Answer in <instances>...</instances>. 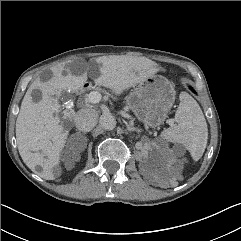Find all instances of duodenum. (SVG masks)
Returning <instances> with one entry per match:
<instances>
[{"instance_id":"1","label":"duodenum","mask_w":241,"mask_h":241,"mask_svg":"<svg viewBox=\"0 0 241 241\" xmlns=\"http://www.w3.org/2000/svg\"><path fill=\"white\" fill-rule=\"evenodd\" d=\"M81 87H87V84H82Z\"/></svg>"}]
</instances>
